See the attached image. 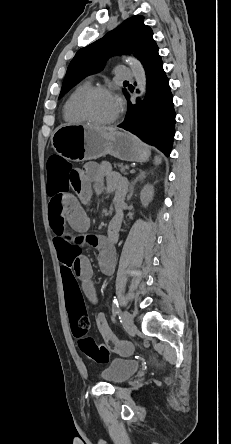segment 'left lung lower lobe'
I'll return each mask as SVG.
<instances>
[{
  "mask_svg": "<svg viewBox=\"0 0 231 444\" xmlns=\"http://www.w3.org/2000/svg\"><path fill=\"white\" fill-rule=\"evenodd\" d=\"M143 67L147 82L145 98L142 102L137 98L136 104L128 101L127 115L119 127L169 156L175 134V111L169 80L158 50ZM127 99H130L128 94Z\"/></svg>",
  "mask_w": 231,
  "mask_h": 444,
  "instance_id": "obj_1",
  "label": "left lung lower lobe"
}]
</instances>
